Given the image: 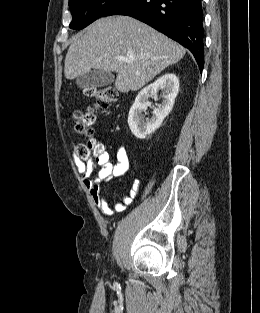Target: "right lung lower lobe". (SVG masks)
<instances>
[{
	"label": "right lung lower lobe",
	"mask_w": 260,
	"mask_h": 313,
	"mask_svg": "<svg viewBox=\"0 0 260 313\" xmlns=\"http://www.w3.org/2000/svg\"><path fill=\"white\" fill-rule=\"evenodd\" d=\"M134 17L188 48L204 67L201 0H119L105 14Z\"/></svg>",
	"instance_id": "obj_1"
}]
</instances>
